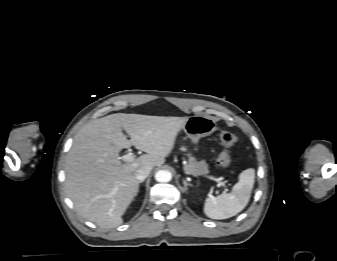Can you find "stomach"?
I'll return each mask as SVG.
<instances>
[{
	"label": "stomach",
	"instance_id": "obj_1",
	"mask_svg": "<svg viewBox=\"0 0 337 261\" xmlns=\"http://www.w3.org/2000/svg\"><path fill=\"white\" fill-rule=\"evenodd\" d=\"M215 130V121L211 117L201 115L189 117L183 126V131L193 143H197L202 137L211 135Z\"/></svg>",
	"mask_w": 337,
	"mask_h": 261
}]
</instances>
